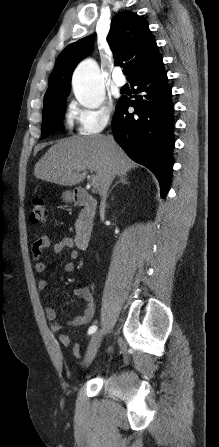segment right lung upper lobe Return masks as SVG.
Returning <instances> with one entry per match:
<instances>
[{"mask_svg": "<svg viewBox=\"0 0 219 447\" xmlns=\"http://www.w3.org/2000/svg\"><path fill=\"white\" fill-rule=\"evenodd\" d=\"M107 42L113 52L114 64L125 62L129 67V82L161 59L148 22L131 11L118 13L112 19ZM91 46L92 38L88 36L69 44L59 54L49 77L44 100L60 94H69L73 70L88 54Z\"/></svg>", "mask_w": 219, "mask_h": 447, "instance_id": "1", "label": "right lung upper lobe"}]
</instances>
